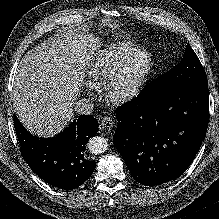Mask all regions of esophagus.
<instances>
[{
    "instance_id": "34e87169",
    "label": "esophagus",
    "mask_w": 219,
    "mask_h": 219,
    "mask_svg": "<svg viewBox=\"0 0 219 219\" xmlns=\"http://www.w3.org/2000/svg\"><path fill=\"white\" fill-rule=\"evenodd\" d=\"M100 126L102 129L110 130L114 126V121L111 117H103L100 119Z\"/></svg>"
}]
</instances>
